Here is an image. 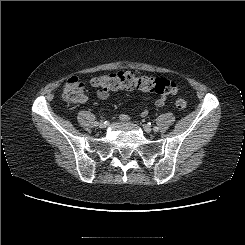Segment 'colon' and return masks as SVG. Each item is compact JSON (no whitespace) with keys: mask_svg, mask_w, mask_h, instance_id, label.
Masks as SVG:
<instances>
[{"mask_svg":"<svg viewBox=\"0 0 245 245\" xmlns=\"http://www.w3.org/2000/svg\"><path fill=\"white\" fill-rule=\"evenodd\" d=\"M92 86L98 90L110 92L119 89L150 91L160 95H173L177 92V85L166 78L137 76L132 72L120 71L104 74L91 80ZM84 83L78 77L69 78L63 88L64 98L72 103L80 102L84 98ZM180 110L186 108L187 103L178 99L175 103Z\"/></svg>","mask_w":245,"mask_h":245,"instance_id":"obj_1","label":"colon"}]
</instances>
